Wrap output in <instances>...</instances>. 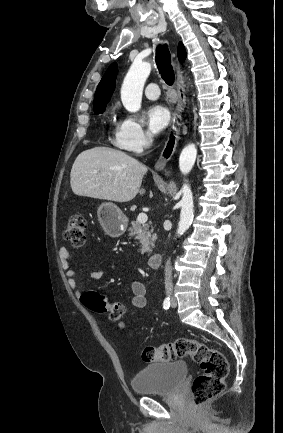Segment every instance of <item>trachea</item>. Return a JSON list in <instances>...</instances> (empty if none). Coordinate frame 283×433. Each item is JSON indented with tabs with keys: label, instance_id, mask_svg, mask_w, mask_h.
Segmentation results:
<instances>
[{
	"label": "trachea",
	"instance_id": "1",
	"mask_svg": "<svg viewBox=\"0 0 283 433\" xmlns=\"http://www.w3.org/2000/svg\"><path fill=\"white\" fill-rule=\"evenodd\" d=\"M155 61L161 77L167 83V85H173L174 83V70L171 65V54L167 44L156 45V57Z\"/></svg>",
	"mask_w": 283,
	"mask_h": 433
}]
</instances>
